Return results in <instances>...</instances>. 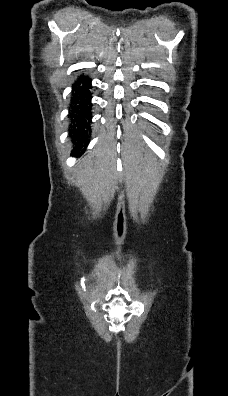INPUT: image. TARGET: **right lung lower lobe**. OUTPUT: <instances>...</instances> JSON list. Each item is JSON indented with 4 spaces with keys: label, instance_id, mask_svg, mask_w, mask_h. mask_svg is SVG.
Masks as SVG:
<instances>
[{
    "label": "right lung lower lobe",
    "instance_id": "right-lung-lower-lobe-1",
    "mask_svg": "<svg viewBox=\"0 0 228 396\" xmlns=\"http://www.w3.org/2000/svg\"><path fill=\"white\" fill-rule=\"evenodd\" d=\"M91 79L80 76L73 84L70 108V135L75 148L72 155L80 156L84 152L91 133Z\"/></svg>",
    "mask_w": 228,
    "mask_h": 396
}]
</instances>
